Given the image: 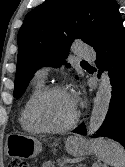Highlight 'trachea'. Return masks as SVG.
<instances>
[{
  "label": "trachea",
  "instance_id": "1",
  "mask_svg": "<svg viewBox=\"0 0 125 167\" xmlns=\"http://www.w3.org/2000/svg\"><path fill=\"white\" fill-rule=\"evenodd\" d=\"M82 63H86V61L83 60Z\"/></svg>",
  "mask_w": 125,
  "mask_h": 167
}]
</instances>
